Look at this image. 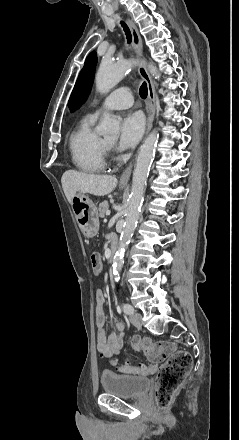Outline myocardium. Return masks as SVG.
Segmentation results:
<instances>
[{"label":"myocardium","mask_w":239,"mask_h":440,"mask_svg":"<svg viewBox=\"0 0 239 440\" xmlns=\"http://www.w3.org/2000/svg\"><path fill=\"white\" fill-rule=\"evenodd\" d=\"M105 149L108 150L111 147V143H108L106 141H103Z\"/></svg>","instance_id":"obj_1"}]
</instances>
